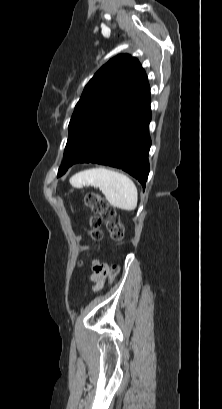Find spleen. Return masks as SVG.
<instances>
[{"label":"spleen","mask_w":222,"mask_h":409,"mask_svg":"<svg viewBox=\"0 0 222 409\" xmlns=\"http://www.w3.org/2000/svg\"><path fill=\"white\" fill-rule=\"evenodd\" d=\"M70 184L75 188H99L115 208L132 211L137 207L138 192L134 182L117 171L106 168L84 170L73 175Z\"/></svg>","instance_id":"spleen-1"}]
</instances>
